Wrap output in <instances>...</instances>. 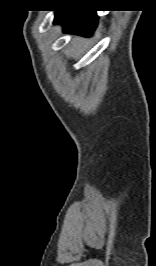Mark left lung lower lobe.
Masks as SVG:
<instances>
[{"label": "left lung lower lobe", "instance_id": "0a47b994", "mask_svg": "<svg viewBox=\"0 0 156 266\" xmlns=\"http://www.w3.org/2000/svg\"><path fill=\"white\" fill-rule=\"evenodd\" d=\"M97 20L94 10H61L55 11L54 22L61 23L65 32L90 36L97 26Z\"/></svg>", "mask_w": 156, "mask_h": 266}]
</instances>
